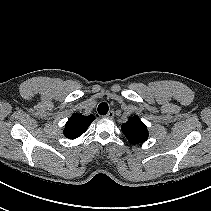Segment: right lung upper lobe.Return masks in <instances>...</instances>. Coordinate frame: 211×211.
I'll list each match as a JSON object with an SVG mask.
<instances>
[{
  "mask_svg": "<svg viewBox=\"0 0 211 211\" xmlns=\"http://www.w3.org/2000/svg\"><path fill=\"white\" fill-rule=\"evenodd\" d=\"M95 120L93 115L84 116L81 114H73L67 121L64 129V135L69 139H76L81 136Z\"/></svg>",
  "mask_w": 211,
  "mask_h": 211,
  "instance_id": "cb5924a9",
  "label": "right lung upper lobe"
}]
</instances>
